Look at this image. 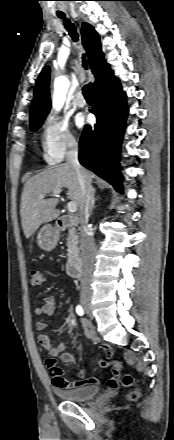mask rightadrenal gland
<instances>
[{
  "label": "right adrenal gland",
  "mask_w": 174,
  "mask_h": 440,
  "mask_svg": "<svg viewBox=\"0 0 174 440\" xmlns=\"http://www.w3.org/2000/svg\"><path fill=\"white\" fill-rule=\"evenodd\" d=\"M95 201H96V198H95V189H93V192H92V201H91V211L93 210V208L95 207L94 205H95Z\"/></svg>",
  "instance_id": "right-adrenal-gland-1"
}]
</instances>
